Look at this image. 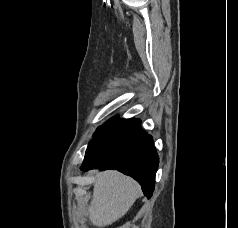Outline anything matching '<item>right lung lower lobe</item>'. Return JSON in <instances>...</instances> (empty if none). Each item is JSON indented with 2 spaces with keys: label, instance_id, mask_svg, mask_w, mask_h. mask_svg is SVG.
<instances>
[{
  "label": "right lung lower lobe",
  "instance_id": "98d812e1",
  "mask_svg": "<svg viewBox=\"0 0 238 228\" xmlns=\"http://www.w3.org/2000/svg\"><path fill=\"white\" fill-rule=\"evenodd\" d=\"M138 119H116L89 143L81 170L116 169L137 180L150 198L154 190L158 155L153 139Z\"/></svg>",
  "mask_w": 238,
  "mask_h": 228
}]
</instances>
